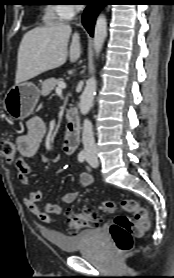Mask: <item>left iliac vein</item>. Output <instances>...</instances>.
<instances>
[{
    "mask_svg": "<svg viewBox=\"0 0 174 278\" xmlns=\"http://www.w3.org/2000/svg\"><path fill=\"white\" fill-rule=\"evenodd\" d=\"M87 161L92 167H97L99 165L98 158L95 154L89 155Z\"/></svg>",
    "mask_w": 174,
    "mask_h": 278,
    "instance_id": "obj_1",
    "label": "left iliac vein"
}]
</instances>
